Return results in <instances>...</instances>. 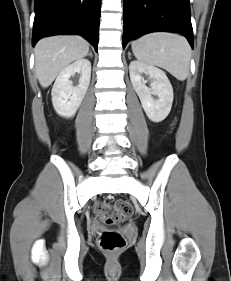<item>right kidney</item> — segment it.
I'll use <instances>...</instances> for the list:
<instances>
[{"label":"right kidney","mask_w":231,"mask_h":281,"mask_svg":"<svg viewBox=\"0 0 231 281\" xmlns=\"http://www.w3.org/2000/svg\"><path fill=\"white\" fill-rule=\"evenodd\" d=\"M80 73L79 84L73 86L70 78ZM91 78V63L87 59L76 60L65 67L58 75L52 88V103L55 111L62 117L75 115L87 92Z\"/></svg>","instance_id":"1"}]
</instances>
